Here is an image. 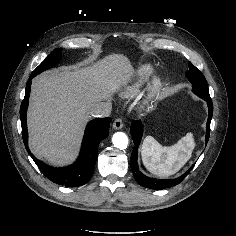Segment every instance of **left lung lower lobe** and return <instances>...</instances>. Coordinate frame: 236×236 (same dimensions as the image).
<instances>
[{
	"label": "left lung lower lobe",
	"instance_id": "0a47b994",
	"mask_svg": "<svg viewBox=\"0 0 236 236\" xmlns=\"http://www.w3.org/2000/svg\"><path fill=\"white\" fill-rule=\"evenodd\" d=\"M207 102L208 109H209V115H208V120H207V128H206V144L209 139L210 135V123L213 115V104L211 99H204ZM130 133L132 135V139L134 141L135 147L133 148L131 159H130V166L133 171L134 177L137 180V182L146 188L154 189V190H162L165 188H169L172 186H175L179 184L186 176L187 174L192 170L194 165L189 168V170L183 174L181 177H178L176 179H154V178H149L145 176L143 173L140 172L137 164V157H138V149L137 147L139 146L141 137H142V124L140 121H135L131 125L130 128Z\"/></svg>",
	"mask_w": 236,
	"mask_h": 236
}]
</instances>
